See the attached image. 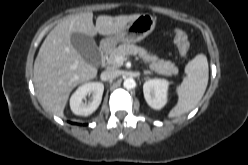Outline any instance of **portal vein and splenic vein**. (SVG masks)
<instances>
[{
    "mask_svg": "<svg viewBox=\"0 0 248 165\" xmlns=\"http://www.w3.org/2000/svg\"><path fill=\"white\" fill-rule=\"evenodd\" d=\"M125 59H126V58H125V57H122V56H118V57L115 58V60H116L117 62H121V63H122Z\"/></svg>",
    "mask_w": 248,
    "mask_h": 165,
    "instance_id": "18ae733b",
    "label": "portal vein and splenic vein"
}]
</instances>
